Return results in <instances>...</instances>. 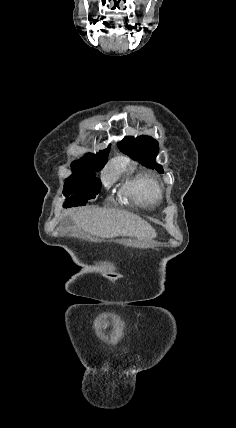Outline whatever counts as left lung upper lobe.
I'll use <instances>...</instances> for the list:
<instances>
[{
  "label": "left lung upper lobe",
  "mask_w": 236,
  "mask_h": 428,
  "mask_svg": "<svg viewBox=\"0 0 236 428\" xmlns=\"http://www.w3.org/2000/svg\"><path fill=\"white\" fill-rule=\"evenodd\" d=\"M118 147L123 153L137 159L141 164L149 168H156L159 173H163L162 166L156 163L159 147L155 139L149 136L125 137L118 143Z\"/></svg>",
  "instance_id": "obj_1"
}]
</instances>
